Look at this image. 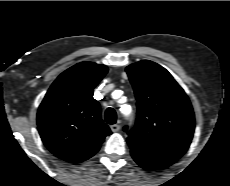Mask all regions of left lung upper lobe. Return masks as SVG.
Instances as JSON below:
<instances>
[{
    "mask_svg": "<svg viewBox=\"0 0 230 186\" xmlns=\"http://www.w3.org/2000/svg\"><path fill=\"white\" fill-rule=\"evenodd\" d=\"M126 72L138 110L135 127L128 132L131 150L176 161L187 151L194 134L188 96L165 68L152 61L131 64Z\"/></svg>",
    "mask_w": 230,
    "mask_h": 186,
    "instance_id": "left-lung-upper-lobe-1",
    "label": "left lung upper lobe"
}]
</instances>
